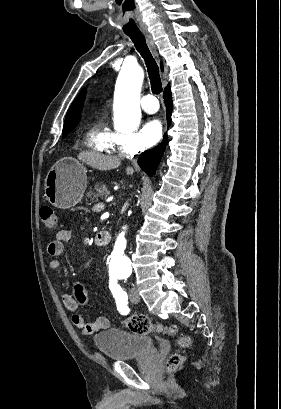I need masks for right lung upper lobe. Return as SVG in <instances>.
<instances>
[{
	"label": "right lung upper lobe",
	"mask_w": 281,
	"mask_h": 409,
	"mask_svg": "<svg viewBox=\"0 0 281 409\" xmlns=\"http://www.w3.org/2000/svg\"><path fill=\"white\" fill-rule=\"evenodd\" d=\"M162 67V66H161ZM170 86L168 85L165 89L169 88ZM83 100H84V94L77 100H75L66 115L65 118V124L64 126L68 125H77L80 119L81 115V110H82V105H83Z\"/></svg>",
	"instance_id": "right-lung-upper-lobe-1"
}]
</instances>
